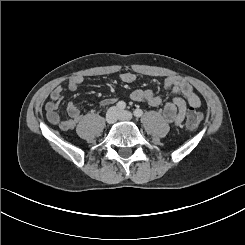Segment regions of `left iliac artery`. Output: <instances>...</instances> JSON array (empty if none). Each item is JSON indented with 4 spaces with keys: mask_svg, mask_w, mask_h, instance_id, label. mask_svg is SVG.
<instances>
[{
    "mask_svg": "<svg viewBox=\"0 0 245 245\" xmlns=\"http://www.w3.org/2000/svg\"><path fill=\"white\" fill-rule=\"evenodd\" d=\"M134 116L137 117V118L142 117L143 116L142 109H140V108L135 109L134 110Z\"/></svg>",
    "mask_w": 245,
    "mask_h": 245,
    "instance_id": "left-iliac-artery-1",
    "label": "left iliac artery"
}]
</instances>
